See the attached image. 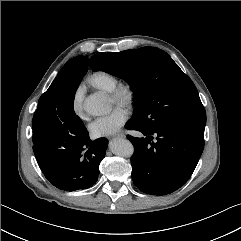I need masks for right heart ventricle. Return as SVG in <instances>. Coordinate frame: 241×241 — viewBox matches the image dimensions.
Instances as JSON below:
<instances>
[{
  "instance_id": "obj_1",
  "label": "right heart ventricle",
  "mask_w": 241,
  "mask_h": 241,
  "mask_svg": "<svg viewBox=\"0 0 241 241\" xmlns=\"http://www.w3.org/2000/svg\"><path fill=\"white\" fill-rule=\"evenodd\" d=\"M88 82L93 87L109 93L119 84V79L116 75L110 72L99 70L93 72L89 76Z\"/></svg>"
}]
</instances>
